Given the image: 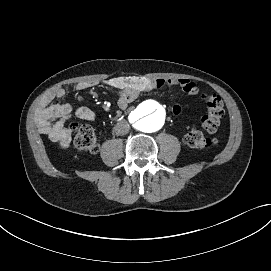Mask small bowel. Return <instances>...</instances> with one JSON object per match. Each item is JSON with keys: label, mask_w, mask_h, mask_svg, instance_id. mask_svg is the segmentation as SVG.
I'll list each match as a JSON object with an SVG mask.
<instances>
[{"label": "small bowel", "mask_w": 271, "mask_h": 271, "mask_svg": "<svg viewBox=\"0 0 271 271\" xmlns=\"http://www.w3.org/2000/svg\"><path fill=\"white\" fill-rule=\"evenodd\" d=\"M104 84L120 91L118 105L125 109L140 93L163 87H180L190 96L198 95V85L189 79L144 78L134 76L114 77L104 81ZM98 85L94 81L78 83L74 86L75 92H80ZM65 90L53 87L41 98L35 112L34 120L38 130L47 135L52 141L58 142L62 147L69 146L72 130L65 127V122L73 115L88 121H94L96 114L85 106H75L64 101ZM54 100H58L54 103Z\"/></svg>", "instance_id": "small-bowel-1"}]
</instances>
